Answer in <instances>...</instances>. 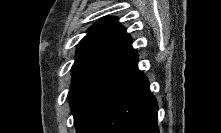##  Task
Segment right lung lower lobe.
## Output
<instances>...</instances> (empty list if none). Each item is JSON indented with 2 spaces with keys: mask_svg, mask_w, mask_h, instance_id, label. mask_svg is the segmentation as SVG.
I'll return each mask as SVG.
<instances>
[{
  "mask_svg": "<svg viewBox=\"0 0 221 133\" xmlns=\"http://www.w3.org/2000/svg\"><path fill=\"white\" fill-rule=\"evenodd\" d=\"M134 57L99 75L74 121L77 133H159L158 105Z\"/></svg>",
  "mask_w": 221,
  "mask_h": 133,
  "instance_id": "obj_1",
  "label": "right lung lower lobe"
}]
</instances>
